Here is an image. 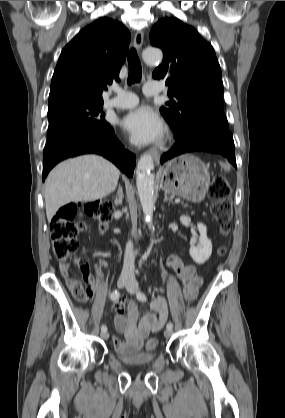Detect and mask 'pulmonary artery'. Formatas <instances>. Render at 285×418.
<instances>
[{
  "label": "pulmonary artery",
  "mask_w": 285,
  "mask_h": 418,
  "mask_svg": "<svg viewBox=\"0 0 285 418\" xmlns=\"http://www.w3.org/2000/svg\"><path fill=\"white\" fill-rule=\"evenodd\" d=\"M113 91L116 96L108 99L105 102V106L108 108L125 109L130 108L138 104V97L130 92L123 91L114 88ZM162 88L154 83L148 82L143 88V92L146 96H154L162 93Z\"/></svg>",
  "instance_id": "e3ab8cb5"
}]
</instances>
